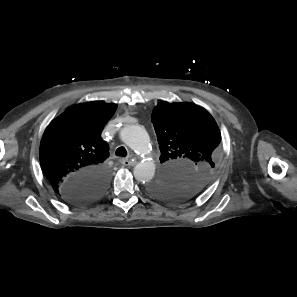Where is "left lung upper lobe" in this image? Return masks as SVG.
<instances>
[{
	"label": "left lung upper lobe",
	"mask_w": 297,
	"mask_h": 297,
	"mask_svg": "<svg viewBox=\"0 0 297 297\" xmlns=\"http://www.w3.org/2000/svg\"><path fill=\"white\" fill-rule=\"evenodd\" d=\"M152 122L164 168L149 192L172 203L195 198L219 164L221 135L215 120L198 105L163 101L154 108Z\"/></svg>",
	"instance_id": "obj_1"
}]
</instances>
